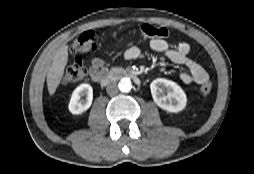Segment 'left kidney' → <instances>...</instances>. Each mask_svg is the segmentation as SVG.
I'll list each match as a JSON object with an SVG mask.
<instances>
[{
	"label": "left kidney",
	"mask_w": 254,
	"mask_h": 174,
	"mask_svg": "<svg viewBox=\"0 0 254 174\" xmlns=\"http://www.w3.org/2000/svg\"><path fill=\"white\" fill-rule=\"evenodd\" d=\"M154 102L168 112H179L187 103V97L183 89L171 80L157 78L150 84ZM166 92V95L164 94Z\"/></svg>",
	"instance_id": "left-kidney-1"
}]
</instances>
